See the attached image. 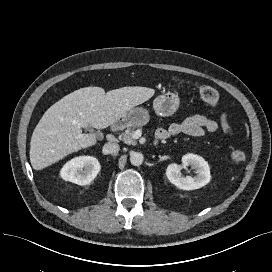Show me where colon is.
Listing matches in <instances>:
<instances>
[{
  "mask_svg": "<svg viewBox=\"0 0 272 272\" xmlns=\"http://www.w3.org/2000/svg\"><path fill=\"white\" fill-rule=\"evenodd\" d=\"M199 95L203 102L210 108H216L220 103V96L218 91L211 86H200L198 88ZM230 159L236 164H243L247 160V154L239 149L230 152Z\"/></svg>",
  "mask_w": 272,
  "mask_h": 272,
  "instance_id": "obj_1",
  "label": "colon"
}]
</instances>
